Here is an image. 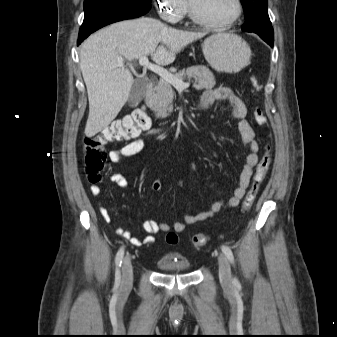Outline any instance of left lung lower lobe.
Instances as JSON below:
<instances>
[{
	"mask_svg": "<svg viewBox=\"0 0 337 337\" xmlns=\"http://www.w3.org/2000/svg\"><path fill=\"white\" fill-rule=\"evenodd\" d=\"M257 35H259L267 44H269L271 47H273L274 42V36L264 35L261 33L254 32Z\"/></svg>",
	"mask_w": 337,
	"mask_h": 337,
	"instance_id": "0a47b994",
	"label": "left lung lower lobe"
}]
</instances>
